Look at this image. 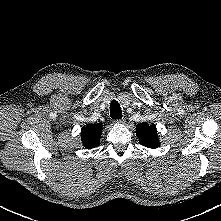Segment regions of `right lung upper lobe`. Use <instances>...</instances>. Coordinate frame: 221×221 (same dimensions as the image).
<instances>
[{
  "instance_id": "obj_1",
  "label": "right lung upper lobe",
  "mask_w": 221,
  "mask_h": 221,
  "mask_svg": "<svg viewBox=\"0 0 221 221\" xmlns=\"http://www.w3.org/2000/svg\"><path fill=\"white\" fill-rule=\"evenodd\" d=\"M102 134V125L89 124L81 130L82 143L87 149H91L99 145Z\"/></svg>"
}]
</instances>
